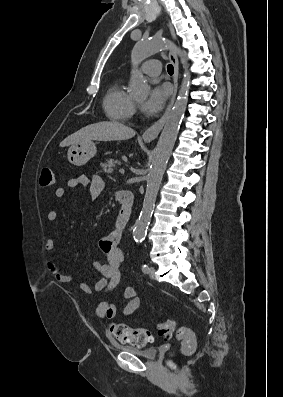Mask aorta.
Wrapping results in <instances>:
<instances>
[{"mask_svg":"<svg viewBox=\"0 0 283 397\" xmlns=\"http://www.w3.org/2000/svg\"><path fill=\"white\" fill-rule=\"evenodd\" d=\"M165 49L174 50L180 57L184 68V79L182 80L177 100L168 115L152 158L143 207L133 230V238L137 243L141 242L146 235L164 169L174 147L179 127L186 110L190 90V73L188 71L185 51L165 39L154 37L151 40L140 41L134 46L131 53V61L134 70L129 87L132 95L142 98L148 95L150 87L143 75L139 73L137 67L152 53Z\"/></svg>","mask_w":283,"mask_h":397,"instance_id":"762f6f07","label":"aorta"}]
</instances>
